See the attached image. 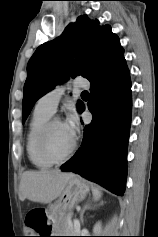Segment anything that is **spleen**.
<instances>
[{
  "instance_id": "obj_1",
  "label": "spleen",
  "mask_w": 158,
  "mask_h": 237,
  "mask_svg": "<svg viewBox=\"0 0 158 237\" xmlns=\"http://www.w3.org/2000/svg\"><path fill=\"white\" fill-rule=\"evenodd\" d=\"M92 194H93L95 199H98V198L101 197L102 193H101V191L98 188L92 187Z\"/></svg>"
}]
</instances>
